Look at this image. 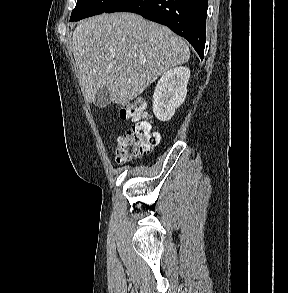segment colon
I'll list each match as a JSON object with an SVG mask.
<instances>
[{
  "label": "colon",
  "mask_w": 288,
  "mask_h": 293,
  "mask_svg": "<svg viewBox=\"0 0 288 293\" xmlns=\"http://www.w3.org/2000/svg\"><path fill=\"white\" fill-rule=\"evenodd\" d=\"M120 117L134 123L116 142V160L124 164L147 154L159 143L160 134L152 130L147 120L146 103L142 99L123 104Z\"/></svg>",
  "instance_id": "obj_1"
}]
</instances>
